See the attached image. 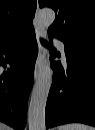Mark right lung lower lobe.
I'll return each mask as SVG.
<instances>
[{
    "label": "right lung lower lobe",
    "instance_id": "obj_1",
    "mask_svg": "<svg viewBox=\"0 0 95 130\" xmlns=\"http://www.w3.org/2000/svg\"><path fill=\"white\" fill-rule=\"evenodd\" d=\"M37 54L34 29L18 40L0 46V65L5 67L7 62L11 65L6 73H0V120L15 129L26 125ZM2 55H6V59Z\"/></svg>",
    "mask_w": 95,
    "mask_h": 130
}]
</instances>
